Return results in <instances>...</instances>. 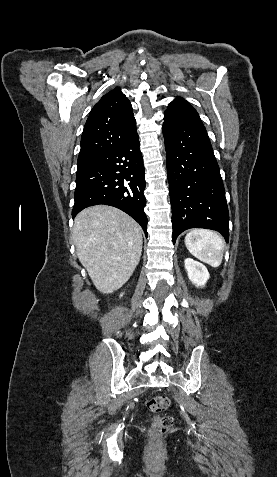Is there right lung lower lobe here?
<instances>
[{
  "mask_svg": "<svg viewBox=\"0 0 277 477\" xmlns=\"http://www.w3.org/2000/svg\"><path fill=\"white\" fill-rule=\"evenodd\" d=\"M144 175L136 131L116 147L78 164L72 217L89 206H114L134 218L147 236Z\"/></svg>",
  "mask_w": 277,
  "mask_h": 477,
  "instance_id": "1",
  "label": "right lung lower lobe"
}]
</instances>
